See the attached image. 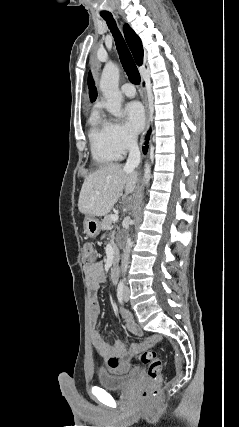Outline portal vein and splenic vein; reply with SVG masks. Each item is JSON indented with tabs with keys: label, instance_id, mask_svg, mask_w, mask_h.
<instances>
[{
	"label": "portal vein and splenic vein",
	"instance_id": "obj_1",
	"mask_svg": "<svg viewBox=\"0 0 239 427\" xmlns=\"http://www.w3.org/2000/svg\"><path fill=\"white\" fill-rule=\"evenodd\" d=\"M110 218H111L112 221H117L118 218H119V216L117 214H113V215H111Z\"/></svg>",
	"mask_w": 239,
	"mask_h": 427
}]
</instances>
